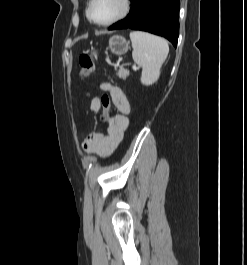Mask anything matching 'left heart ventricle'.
<instances>
[{
    "label": "left heart ventricle",
    "mask_w": 247,
    "mask_h": 265,
    "mask_svg": "<svg viewBox=\"0 0 247 265\" xmlns=\"http://www.w3.org/2000/svg\"><path fill=\"white\" fill-rule=\"evenodd\" d=\"M121 0H95L92 7V17L97 22H105L121 10Z\"/></svg>",
    "instance_id": "obj_1"
}]
</instances>
